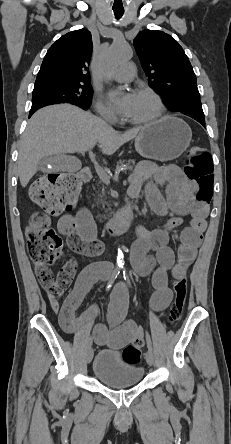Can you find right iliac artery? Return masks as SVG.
Returning <instances> with one entry per match:
<instances>
[{"label": "right iliac artery", "mask_w": 231, "mask_h": 444, "mask_svg": "<svg viewBox=\"0 0 231 444\" xmlns=\"http://www.w3.org/2000/svg\"><path fill=\"white\" fill-rule=\"evenodd\" d=\"M119 273H120L119 268H116V269L113 271V273H112V275H111V277H110V279H109V282H108V284H107V287H106V291H107V292H108V291L110 290V288L112 287V284H113V282L115 281V279L117 278V276L119 275ZM91 346H92V340H91V338H90L89 341H88V343H87V347H88V348H91Z\"/></svg>", "instance_id": "82829eb1"}]
</instances>
